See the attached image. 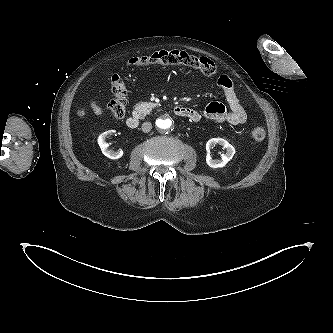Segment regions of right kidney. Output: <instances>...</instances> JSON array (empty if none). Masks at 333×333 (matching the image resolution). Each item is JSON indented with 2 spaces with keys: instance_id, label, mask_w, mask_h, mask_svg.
<instances>
[{
  "instance_id": "obj_1",
  "label": "right kidney",
  "mask_w": 333,
  "mask_h": 333,
  "mask_svg": "<svg viewBox=\"0 0 333 333\" xmlns=\"http://www.w3.org/2000/svg\"><path fill=\"white\" fill-rule=\"evenodd\" d=\"M115 131L114 130H109V131H106L104 133H102L99 137H98V144L101 148V151L102 153L110 158V159H119L123 156V151L122 150H118V151H113V150H110L108 147H109V144L105 141L106 138H108L109 135H111L112 133H114Z\"/></svg>"
}]
</instances>
